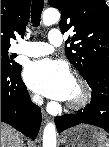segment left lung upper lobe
Wrapping results in <instances>:
<instances>
[{
  "label": "left lung upper lobe",
  "instance_id": "5c2ea615",
  "mask_svg": "<svg viewBox=\"0 0 109 147\" xmlns=\"http://www.w3.org/2000/svg\"><path fill=\"white\" fill-rule=\"evenodd\" d=\"M61 11L62 33H74L68 60L87 80L96 67H109V6L105 0H49Z\"/></svg>",
  "mask_w": 109,
  "mask_h": 147
}]
</instances>
